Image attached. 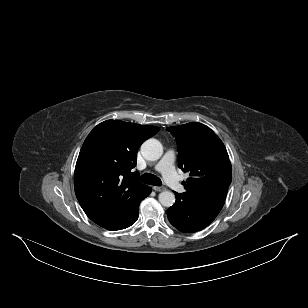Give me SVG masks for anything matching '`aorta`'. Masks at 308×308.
I'll list each match as a JSON object with an SVG mask.
<instances>
[{
  "mask_svg": "<svg viewBox=\"0 0 308 308\" xmlns=\"http://www.w3.org/2000/svg\"><path fill=\"white\" fill-rule=\"evenodd\" d=\"M141 153L146 160L156 161L163 153L161 143L156 139H148L141 146ZM164 207H171L175 203V195L171 191H163L158 196Z\"/></svg>",
  "mask_w": 308,
  "mask_h": 308,
  "instance_id": "aorta-1",
  "label": "aorta"
}]
</instances>
